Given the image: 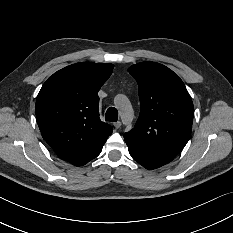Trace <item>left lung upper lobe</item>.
Instances as JSON below:
<instances>
[{
  "instance_id": "1",
  "label": "left lung upper lobe",
  "mask_w": 233,
  "mask_h": 233,
  "mask_svg": "<svg viewBox=\"0 0 233 233\" xmlns=\"http://www.w3.org/2000/svg\"><path fill=\"white\" fill-rule=\"evenodd\" d=\"M128 72L138 83L141 110L124 137L175 157L190 139L194 114L184 83L166 66L150 61L133 65Z\"/></svg>"
}]
</instances>
